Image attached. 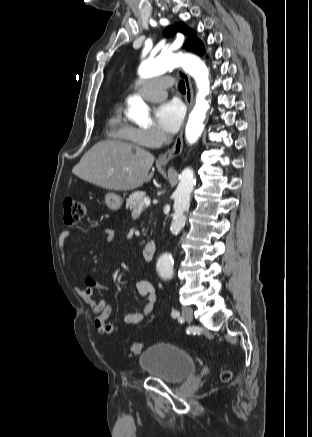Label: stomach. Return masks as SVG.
<instances>
[{
  "label": "stomach",
  "mask_w": 312,
  "mask_h": 437,
  "mask_svg": "<svg viewBox=\"0 0 312 437\" xmlns=\"http://www.w3.org/2000/svg\"><path fill=\"white\" fill-rule=\"evenodd\" d=\"M104 202L110 210L117 211L121 208L123 199L119 195L109 192L105 195Z\"/></svg>",
  "instance_id": "1"
}]
</instances>
